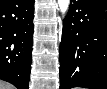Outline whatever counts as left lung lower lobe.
Returning a JSON list of instances; mask_svg holds the SVG:
<instances>
[{
	"label": "left lung lower lobe",
	"mask_w": 107,
	"mask_h": 89,
	"mask_svg": "<svg viewBox=\"0 0 107 89\" xmlns=\"http://www.w3.org/2000/svg\"><path fill=\"white\" fill-rule=\"evenodd\" d=\"M107 89V0H71L60 44V89Z\"/></svg>",
	"instance_id": "0a47b994"
}]
</instances>
